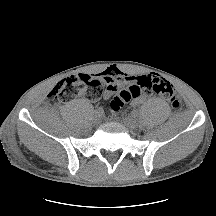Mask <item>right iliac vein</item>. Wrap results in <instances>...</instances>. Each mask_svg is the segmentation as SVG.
Here are the masks:
<instances>
[{"instance_id":"obj_1","label":"right iliac vein","mask_w":216,"mask_h":216,"mask_svg":"<svg viewBox=\"0 0 216 216\" xmlns=\"http://www.w3.org/2000/svg\"><path fill=\"white\" fill-rule=\"evenodd\" d=\"M100 122H101V116L95 115V116L93 117V123H94L95 125H98Z\"/></svg>"}]
</instances>
